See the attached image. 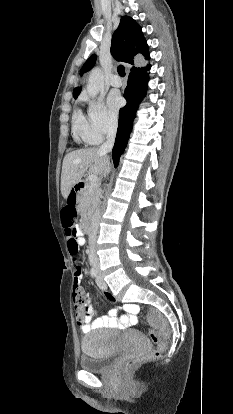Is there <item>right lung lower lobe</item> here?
<instances>
[{
	"instance_id": "1",
	"label": "right lung lower lobe",
	"mask_w": 233,
	"mask_h": 414,
	"mask_svg": "<svg viewBox=\"0 0 233 414\" xmlns=\"http://www.w3.org/2000/svg\"><path fill=\"white\" fill-rule=\"evenodd\" d=\"M149 69L150 66L139 72L129 74L128 84L124 93V98L127 100V104L121 108L119 112V125L112 150V158L115 167L118 165L119 158L127 145L130 132L132 131L133 119L135 118L139 103L145 95L147 88L146 84L148 81L147 71Z\"/></svg>"
}]
</instances>
